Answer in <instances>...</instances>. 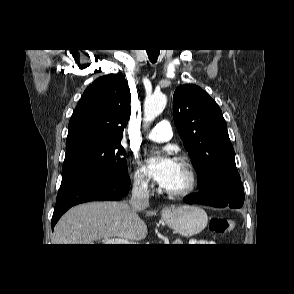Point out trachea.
I'll use <instances>...</instances> for the list:
<instances>
[{
    "label": "trachea",
    "mask_w": 294,
    "mask_h": 294,
    "mask_svg": "<svg viewBox=\"0 0 294 294\" xmlns=\"http://www.w3.org/2000/svg\"><path fill=\"white\" fill-rule=\"evenodd\" d=\"M146 51H147V54H148L150 61L152 63H155L157 61L158 56H159V51L154 50V49L146 50Z\"/></svg>",
    "instance_id": "1"
}]
</instances>
